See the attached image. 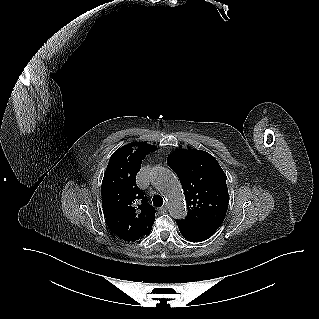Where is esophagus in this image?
I'll return each instance as SVG.
<instances>
[{
  "instance_id": "34e87169",
  "label": "esophagus",
  "mask_w": 319,
  "mask_h": 319,
  "mask_svg": "<svg viewBox=\"0 0 319 319\" xmlns=\"http://www.w3.org/2000/svg\"><path fill=\"white\" fill-rule=\"evenodd\" d=\"M159 213L164 214L167 212V206L164 205L158 209Z\"/></svg>"
}]
</instances>
